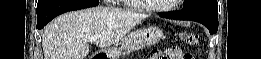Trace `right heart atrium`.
<instances>
[{"mask_svg": "<svg viewBox=\"0 0 261 59\" xmlns=\"http://www.w3.org/2000/svg\"><path fill=\"white\" fill-rule=\"evenodd\" d=\"M111 1H114V0H105V2H111ZM115 2V1H114Z\"/></svg>", "mask_w": 261, "mask_h": 59, "instance_id": "obj_1", "label": "right heart atrium"}]
</instances>
